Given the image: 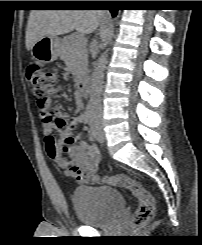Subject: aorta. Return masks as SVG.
<instances>
[{"instance_id": "1", "label": "aorta", "mask_w": 202, "mask_h": 245, "mask_svg": "<svg viewBox=\"0 0 202 245\" xmlns=\"http://www.w3.org/2000/svg\"><path fill=\"white\" fill-rule=\"evenodd\" d=\"M107 53H108V49H106L98 58L94 67V72L92 74L90 91H91V99L94 101L100 97L102 92L104 71L107 62Z\"/></svg>"}]
</instances>
